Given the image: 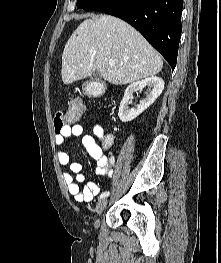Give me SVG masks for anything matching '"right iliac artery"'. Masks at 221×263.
Listing matches in <instances>:
<instances>
[{
	"mask_svg": "<svg viewBox=\"0 0 221 263\" xmlns=\"http://www.w3.org/2000/svg\"><path fill=\"white\" fill-rule=\"evenodd\" d=\"M109 194H110V192H109V191H105V192H103V193L100 195V198H105V197H108V196H109Z\"/></svg>",
	"mask_w": 221,
	"mask_h": 263,
	"instance_id": "right-iliac-artery-1",
	"label": "right iliac artery"
}]
</instances>
